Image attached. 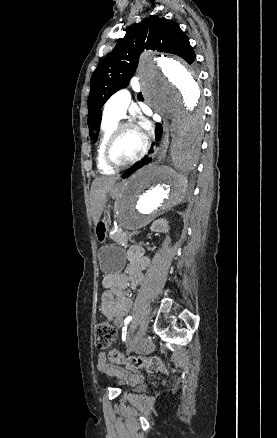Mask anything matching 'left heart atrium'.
<instances>
[{
	"label": "left heart atrium",
	"mask_w": 277,
	"mask_h": 438,
	"mask_svg": "<svg viewBox=\"0 0 277 438\" xmlns=\"http://www.w3.org/2000/svg\"><path fill=\"white\" fill-rule=\"evenodd\" d=\"M149 130V124L145 119H141L139 122V131L142 137L147 136V131Z\"/></svg>",
	"instance_id": "obj_1"
}]
</instances>
